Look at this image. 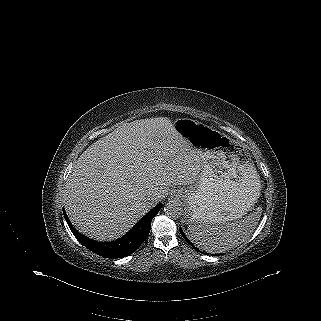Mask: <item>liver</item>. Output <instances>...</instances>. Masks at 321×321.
<instances>
[{
    "mask_svg": "<svg viewBox=\"0 0 321 321\" xmlns=\"http://www.w3.org/2000/svg\"><path fill=\"white\" fill-rule=\"evenodd\" d=\"M200 172V156L170 119L122 123L78 158L65 186V209L81 233L114 240L154 206L148 198L157 204L170 186L193 184Z\"/></svg>",
    "mask_w": 321,
    "mask_h": 321,
    "instance_id": "liver-1",
    "label": "liver"
}]
</instances>
